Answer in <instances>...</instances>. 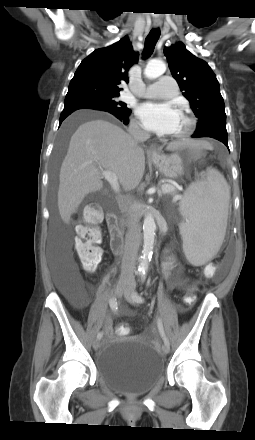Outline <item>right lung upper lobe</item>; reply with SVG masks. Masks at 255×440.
<instances>
[{
	"label": "right lung upper lobe",
	"instance_id": "right-lung-upper-lobe-1",
	"mask_svg": "<svg viewBox=\"0 0 255 440\" xmlns=\"http://www.w3.org/2000/svg\"><path fill=\"white\" fill-rule=\"evenodd\" d=\"M138 60L127 36L92 52L77 68L66 98L90 93L119 94L118 85L128 82V70Z\"/></svg>",
	"mask_w": 255,
	"mask_h": 440
}]
</instances>
